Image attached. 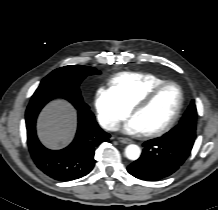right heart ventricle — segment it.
<instances>
[{
  "label": "right heart ventricle",
  "instance_id": "e07e8e85",
  "mask_svg": "<svg viewBox=\"0 0 218 210\" xmlns=\"http://www.w3.org/2000/svg\"><path fill=\"white\" fill-rule=\"evenodd\" d=\"M163 81L151 73L124 72L109 81V88L131 109L151 88Z\"/></svg>",
  "mask_w": 218,
  "mask_h": 210
}]
</instances>
